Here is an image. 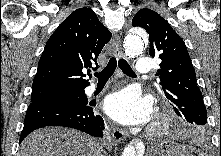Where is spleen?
Here are the masks:
<instances>
[{
	"label": "spleen",
	"mask_w": 221,
	"mask_h": 156,
	"mask_svg": "<svg viewBox=\"0 0 221 156\" xmlns=\"http://www.w3.org/2000/svg\"><path fill=\"white\" fill-rule=\"evenodd\" d=\"M200 156H203V153H199Z\"/></svg>",
	"instance_id": "3e777b00"
}]
</instances>
